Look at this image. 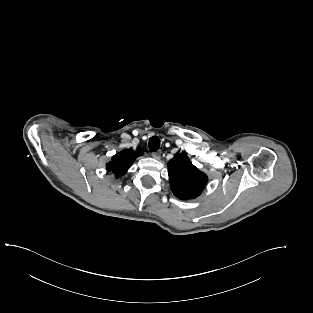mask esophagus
<instances>
[{
  "label": "esophagus",
  "instance_id": "34e87169",
  "mask_svg": "<svg viewBox=\"0 0 313 313\" xmlns=\"http://www.w3.org/2000/svg\"><path fill=\"white\" fill-rule=\"evenodd\" d=\"M152 157L154 158V159H160L161 158V152L160 151H157V152H153L152 153Z\"/></svg>",
  "mask_w": 313,
  "mask_h": 313
}]
</instances>
